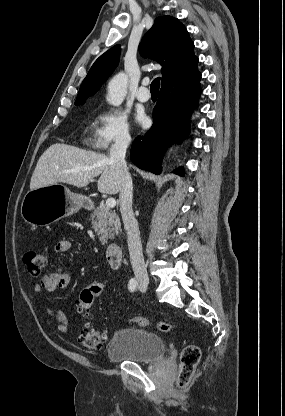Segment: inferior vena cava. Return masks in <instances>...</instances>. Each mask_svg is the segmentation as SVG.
<instances>
[{
	"label": "inferior vena cava",
	"mask_w": 285,
	"mask_h": 416,
	"mask_svg": "<svg viewBox=\"0 0 285 416\" xmlns=\"http://www.w3.org/2000/svg\"><path fill=\"white\" fill-rule=\"evenodd\" d=\"M131 142V138L127 130H123L117 134L115 144L109 148V162L117 164L119 168L124 170V178L119 194L120 212L125 230H127L128 248L132 268L137 276H147L146 264L142 254V246L140 240V232L138 222L132 210L133 184L132 178L128 172L125 162L126 150Z\"/></svg>",
	"instance_id": "obj_1"
}]
</instances>
